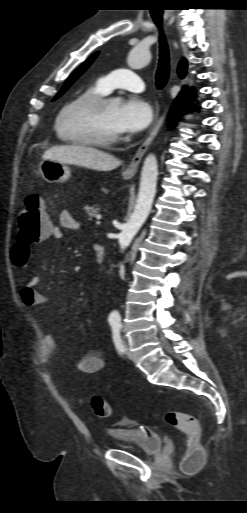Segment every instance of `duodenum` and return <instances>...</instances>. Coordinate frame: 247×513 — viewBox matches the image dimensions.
I'll return each instance as SVG.
<instances>
[{"mask_svg": "<svg viewBox=\"0 0 247 513\" xmlns=\"http://www.w3.org/2000/svg\"><path fill=\"white\" fill-rule=\"evenodd\" d=\"M95 259L97 263H102L105 259V248L101 243L94 244Z\"/></svg>", "mask_w": 247, "mask_h": 513, "instance_id": "410a0bca", "label": "duodenum"}]
</instances>
